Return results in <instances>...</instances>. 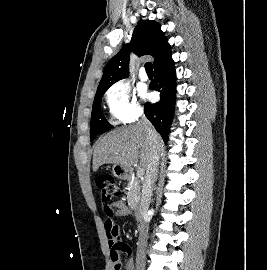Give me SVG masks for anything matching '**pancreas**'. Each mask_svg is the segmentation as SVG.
<instances>
[{"label": "pancreas", "instance_id": "1", "mask_svg": "<svg viewBox=\"0 0 267 270\" xmlns=\"http://www.w3.org/2000/svg\"><path fill=\"white\" fill-rule=\"evenodd\" d=\"M140 180L138 178H131L127 185V201L132 206L140 200Z\"/></svg>", "mask_w": 267, "mask_h": 270}]
</instances>
